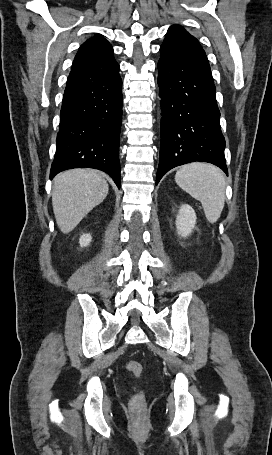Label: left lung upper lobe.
<instances>
[{
    "mask_svg": "<svg viewBox=\"0 0 272 455\" xmlns=\"http://www.w3.org/2000/svg\"><path fill=\"white\" fill-rule=\"evenodd\" d=\"M160 52V58L170 64L177 65L185 62L209 64L198 40L180 25H173L169 28Z\"/></svg>",
    "mask_w": 272,
    "mask_h": 455,
    "instance_id": "5c2ea615",
    "label": "left lung upper lobe"
}]
</instances>
